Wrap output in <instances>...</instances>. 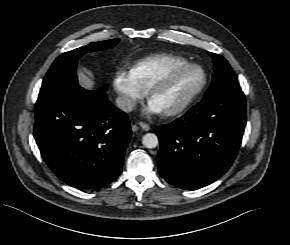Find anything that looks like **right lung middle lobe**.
I'll return each mask as SVG.
<instances>
[{
  "label": "right lung middle lobe",
  "instance_id": "dd1d6c3e",
  "mask_svg": "<svg viewBox=\"0 0 290 245\" xmlns=\"http://www.w3.org/2000/svg\"><path fill=\"white\" fill-rule=\"evenodd\" d=\"M118 42L119 39L94 42L60 55L48 70L38 98L51 96L77 86L76 65L78 59L88 52L112 48ZM102 89L106 91L107 86Z\"/></svg>",
  "mask_w": 290,
  "mask_h": 245
}]
</instances>
